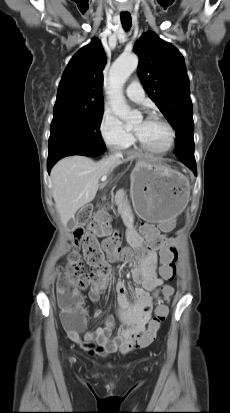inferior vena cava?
Instances as JSON below:
<instances>
[{
  "instance_id": "inferior-vena-cava-1",
  "label": "inferior vena cava",
  "mask_w": 230,
  "mask_h": 413,
  "mask_svg": "<svg viewBox=\"0 0 230 413\" xmlns=\"http://www.w3.org/2000/svg\"><path fill=\"white\" fill-rule=\"evenodd\" d=\"M119 154L112 155L111 158H118Z\"/></svg>"
}]
</instances>
